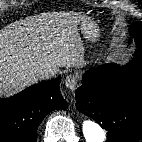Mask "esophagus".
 Here are the masks:
<instances>
[{"label":"esophagus","mask_w":142,"mask_h":142,"mask_svg":"<svg viewBox=\"0 0 142 142\" xmlns=\"http://www.w3.org/2000/svg\"><path fill=\"white\" fill-rule=\"evenodd\" d=\"M78 84V77L74 74H69L65 78V85L70 90H75Z\"/></svg>","instance_id":"obj_1"}]
</instances>
